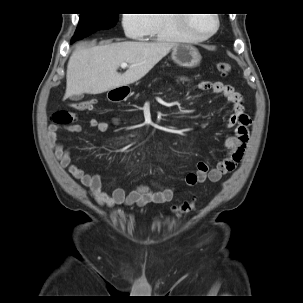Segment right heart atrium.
Listing matches in <instances>:
<instances>
[{"instance_id": "1", "label": "right heart atrium", "mask_w": 303, "mask_h": 303, "mask_svg": "<svg viewBox=\"0 0 303 303\" xmlns=\"http://www.w3.org/2000/svg\"><path fill=\"white\" fill-rule=\"evenodd\" d=\"M122 25L127 37L139 39L148 31L149 16L148 14H125Z\"/></svg>"}]
</instances>
